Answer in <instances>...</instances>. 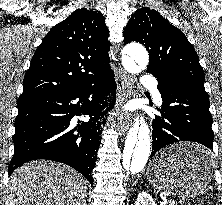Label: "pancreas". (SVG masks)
<instances>
[{
  "label": "pancreas",
  "instance_id": "1",
  "mask_svg": "<svg viewBox=\"0 0 222 205\" xmlns=\"http://www.w3.org/2000/svg\"><path fill=\"white\" fill-rule=\"evenodd\" d=\"M169 205H175V203H172V202H171V203H169Z\"/></svg>",
  "mask_w": 222,
  "mask_h": 205
}]
</instances>
